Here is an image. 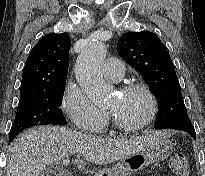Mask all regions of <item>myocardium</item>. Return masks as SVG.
I'll return each mask as SVG.
<instances>
[{"label": "myocardium", "instance_id": "myocardium-1", "mask_svg": "<svg viewBox=\"0 0 205 176\" xmlns=\"http://www.w3.org/2000/svg\"><path fill=\"white\" fill-rule=\"evenodd\" d=\"M134 91H139V92L143 93L147 97L149 104H150L149 114L142 122H140L138 124H134V125L123 123L112 111L109 110V114H110V117L113 121V124L118 129H120L122 131H126V132L138 131V130L144 129L145 127L150 125L152 123V121L155 119L156 114H157V110H158L157 99H156L154 93L149 89V87H147L143 83L133 82V83L124 85L121 88L120 93H131Z\"/></svg>", "mask_w": 205, "mask_h": 176}]
</instances>
